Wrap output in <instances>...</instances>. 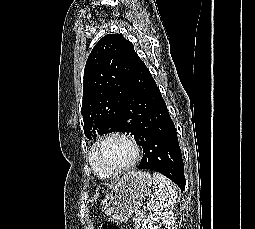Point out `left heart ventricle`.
I'll return each instance as SVG.
<instances>
[{"label":"left heart ventricle","instance_id":"b2bd125f","mask_svg":"<svg viewBox=\"0 0 255 229\" xmlns=\"http://www.w3.org/2000/svg\"><path fill=\"white\" fill-rule=\"evenodd\" d=\"M133 158L131 146L120 138H111L103 142L97 150L98 161L109 169L128 164Z\"/></svg>","mask_w":255,"mask_h":229}]
</instances>
